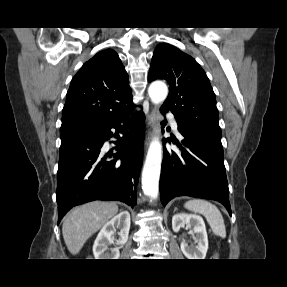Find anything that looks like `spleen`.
I'll return each instance as SVG.
<instances>
[{
	"instance_id": "obj_1",
	"label": "spleen",
	"mask_w": 287,
	"mask_h": 287,
	"mask_svg": "<svg viewBox=\"0 0 287 287\" xmlns=\"http://www.w3.org/2000/svg\"><path fill=\"white\" fill-rule=\"evenodd\" d=\"M185 208L194 213L202 214L215 235L222 238L226 237V228L222 214L214 204L202 199H193L185 203Z\"/></svg>"
}]
</instances>
